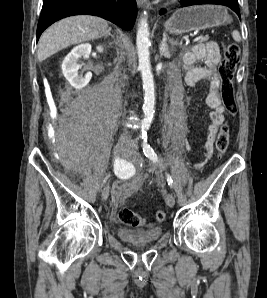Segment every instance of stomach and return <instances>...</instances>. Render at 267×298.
<instances>
[{"label":"stomach","mask_w":267,"mask_h":298,"mask_svg":"<svg viewBox=\"0 0 267 298\" xmlns=\"http://www.w3.org/2000/svg\"><path fill=\"white\" fill-rule=\"evenodd\" d=\"M230 21L224 7L195 5L177 10L164 24V27L169 33L179 35L217 27Z\"/></svg>","instance_id":"obj_1"}]
</instances>
